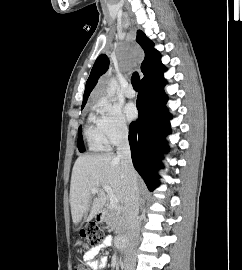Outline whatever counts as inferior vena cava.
Here are the masks:
<instances>
[{"mask_svg": "<svg viewBox=\"0 0 242 270\" xmlns=\"http://www.w3.org/2000/svg\"><path fill=\"white\" fill-rule=\"evenodd\" d=\"M117 157L121 161L123 177L126 184L124 201V219L127 225L128 243L125 250V267L135 264V249L139 240V187L136 180V171L132 164L128 131H124L117 144Z\"/></svg>", "mask_w": 242, "mask_h": 270, "instance_id": "obj_1", "label": "inferior vena cava"}]
</instances>
